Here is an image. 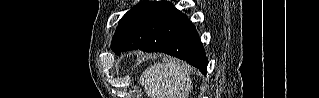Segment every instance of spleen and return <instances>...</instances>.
I'll use <instances>...</instances> for the list:
<instances>
[{
  "mask_svg": "<svg viewBox=\"0 0 319 98\" xmlns=\"http://www.w3.org/2000/svg\"><path fill=\"white\" fill-rule=\"evenodd\" d=\"M139 83L149 98H186L192 89L187 68L176 60L150 66L143 71Z\"/></svg>",
  "mask_w": 319,
  "mask_h": 98,
  "instance_id": "spleen-1",
  "label": "spleen"
}]
</instances>
